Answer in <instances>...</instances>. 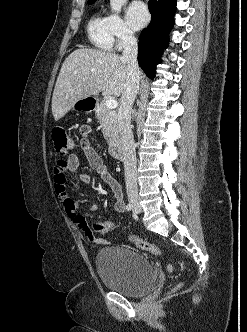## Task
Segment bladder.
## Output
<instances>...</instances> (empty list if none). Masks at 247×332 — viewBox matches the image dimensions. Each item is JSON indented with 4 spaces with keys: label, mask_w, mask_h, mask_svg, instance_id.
I'll list each match as a JSON object with an SVG mask.
<instances>
[{
    "label": "bladder",
    "mask_w": 247,
    "mask_h": 332,
    "mask_svg": "<svg viewBox=\"0 0 247 332\" xmlns=\"http://www.w3.org/2000/svg\"><path fill=\"white\" fill-rule=\"evenodd\" d=\"M95 263L101 282L128 297L145 295L156 283V271L150 260L126 245L100 249Z\"/></svg>",
    "instance_id": "bladder-1"
}]
</instances>
